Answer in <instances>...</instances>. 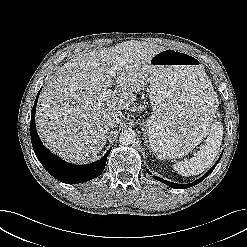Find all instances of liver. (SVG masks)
Listing matches in <instances>:
<instances>
[{"label": "liver", "instance_id": "liver-1", "mask_svg": "<svg viewBox=\"0 0 247 247\" xmlns=\"http://www.w3.org/2000/svg\"><path fill=\"white\" fill-rule=\"evenodd\" d=\"M164 49L128 41L79 54L60 67L46 82L36 110L45 145L70 162L93 161L106 142V116L122 115L136 99L149 82L150 60ZM111 67L116 68L114 77ZM114 84L116 90L106 94Z\"/></svg>", "mask_w": 247, "mask_h": 247}]
</instances>
